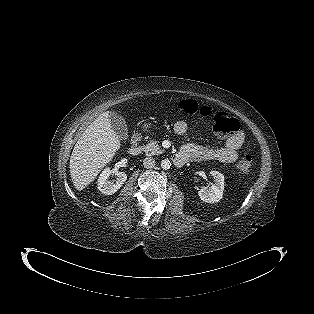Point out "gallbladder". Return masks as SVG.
I'll return each instance as SVG.
<instances>
[{"instance_id": "1", "label": "gallbladder", "mask_w": 314, "mask_h": 314, "mask_svg": "<svg viewBox=\"0 0 314 314\" xmlns=\"http://www.w3.org/2000/svg\"><path fill=\"white\" fill-rule=\"evenodd\" d=\"M111 126L113 131L121 140L128 139V127L125 119L117 112H112L110 115Z\"/></svg>"}]
</instances>
